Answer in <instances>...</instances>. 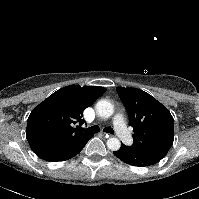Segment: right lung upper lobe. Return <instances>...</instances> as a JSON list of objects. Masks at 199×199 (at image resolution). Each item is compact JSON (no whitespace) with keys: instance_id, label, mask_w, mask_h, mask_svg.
I'll list each match as a JSON object with an SVG mask.
<instances>
[{"instance_id":"cb5924a9","label":"right lung upper lobe","mask_w":199,"mask_h":199,"mask_svg":"<svg viewBox=\"0 0 199 199\" xmlns=\"http://www.w3.org/2000/svg\"><path fill=\"white\" fill-rule=\"evenodd\" d=\"M105 91L102 87L70 85L41 102L32 110L27 121L26 138L31 149L60 147L86 135L74 126L85 122L82 119L84 109Z\"/></svg>"}]
</instances>
